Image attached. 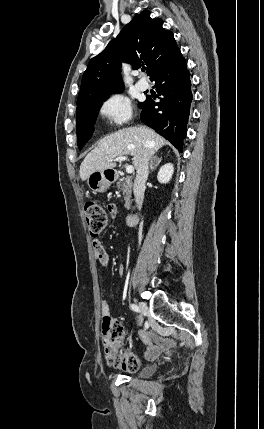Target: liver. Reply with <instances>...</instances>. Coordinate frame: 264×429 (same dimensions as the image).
<instances>
[{"label": "liver", "mask_w": 264, "mask_h": 429, "mask_svg": "<svg viewBox=\"0 0 264 429\" xmlns=\"http://www.w3.org/2000/svg\"><path fill=\"white\" fill-rule=\"evenodd\" d=\"M165 143L163 137L146 126L118 130L101 139L85 157L80 166V178L84 181L94 171L113 169L115 164L111 160L128 154L133 156L132 163L137 168L144 152L149 151L152 156Z\"/></svg>", "instance_id": "6515ba94"}]
</instances>
